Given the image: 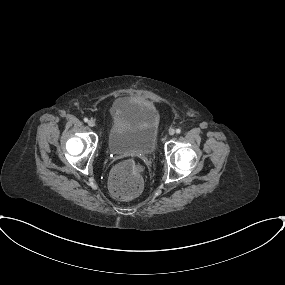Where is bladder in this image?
<instances>
[{
  "label": "bladder",
  "instance_id": "obj_1",
  "mask_svg": "<svg viewBox=\"0 0 285 285\" xmlns=\"http://www.w3.org/2000/svg\"><path fill=\"white\" fill-rule=\"evenodd\" d=\"M117 108L119 114L134 116L135 120L110 129L106 140L107 150L115 155L153 154L156 148V128L147 118L146 106L133 104L127 113L120 107Z\"/></svg>",
  "mask_w": 285,
  "mask_h": 285
}]
</instances>
